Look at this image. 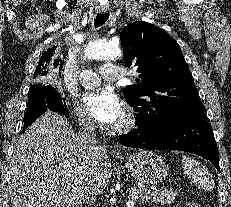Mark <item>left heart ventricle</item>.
I'll return each mask as SVG.
<instances>
[{
  "instance_id": "1",
  "label": "left heart ventricle",
  "mask_w": 231,
  "mask_h": 207,
  "mask_svg": "<svg viewBox=\"0 0 231 207\" xmlns=\"http://www.w3.org/2000/svg\"><path fill=\"white\" fill-rule=\"evenodd\" d=\"M122 120H123V116H122V118H121L120 120H118L114 125L119 124Z\"/></svg>"
}]
</instances>
